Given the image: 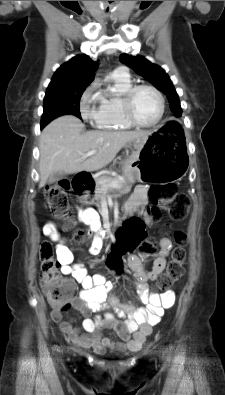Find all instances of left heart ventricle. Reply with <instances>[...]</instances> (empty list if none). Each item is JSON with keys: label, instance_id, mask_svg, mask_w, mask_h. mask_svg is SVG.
Wrapping results in <instances>:
<instances>
[{"label": "left heart ventricle", "instance_id": "obj_1", "mask_svg": "<svg viewBox=\"0 0 225 395\" xmlns=\"http://www.w3.org/2000/svg\"><path fill=\"white\" fill-rule=\"evenodd\" d=\"M160 105L156 95L147 89L139 90L133 100V113L142 123H152L159 115Z\"/></svg>", "mask_w": 225, "mask_h": 395}]
</instances>
